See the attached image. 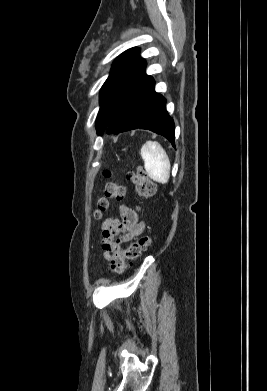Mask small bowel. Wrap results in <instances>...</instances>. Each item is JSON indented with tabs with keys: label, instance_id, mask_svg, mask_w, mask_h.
I'll list each match as a JSON object with an SVG mask.
<instances>
[{
	"label": "small bowel",
	"instance_id": "1",
	"mask_svg": "<svg viewBox=\"0 0 267 391\" xmlns=\"http://www.w3.org/2000/svg\"><path fill=\"white\" fill-rule=\"evenodd\" d=\"M121 215L122 221L110 218L102 225L101 248L108 261L120 251L121 244L133 240L144 230V223L138 219L136 209L122 206Z\"/></svg>",
	"mask_w": 267,
	"mask_h": 391
}]
</instances>
